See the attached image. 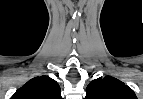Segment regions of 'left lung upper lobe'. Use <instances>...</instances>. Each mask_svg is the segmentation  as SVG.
I'll return each instance as SVG.
<instances>
[{
    "label": "left lung upper lobe",
    "mask_w": 143,
    "mask_h": 99,
    "mask_svg": "<svg viewBox=\"0 0 143 99\" xmlns=\"http://www.w3.org/2000/svg\"><path fill=\"white\" fill-rule=\"evenodd\" d=\"M85 99H137V97L122 81L112 76H105L89 83Z\"/></svg>",
    "instance_id": "5c2ea615"
}]
</instances>
